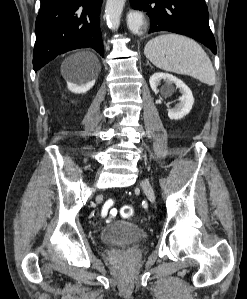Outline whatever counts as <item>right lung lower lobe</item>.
I'll use <instances>...</instances> for the list:
<instances>
[{
	"label": "right lung lower lobe",
	"instance_id": "1",
	"mask_svg": "<svg viewBox=\"0 0 247 299\" xmlns=\"http://www.w3.org/2000/svg\"><path fill=\"white\" fill-rule=\"evenodd\" d=\"M40 1L35 23V71L57 55L78 48L92 47L104 56L99 26L102 0Z\"/></svg>",
	"mask_w": 247,
	"mask_h": 299
}]
</instances>
